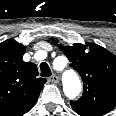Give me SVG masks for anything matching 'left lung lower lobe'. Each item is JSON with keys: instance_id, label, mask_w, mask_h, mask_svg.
<instances>
[{"instance_id": "obj_1", "label": "left lung lower lobe", "mask_w": 116, "mask_h": 116, "mask_svg": "<svg viewBox=\"0 0 116 116\" xmlns=\"http://www.w3.org/2000/svg\"><path fill=\"white\" fill-rule=\"evenodd\" d=\"M77 114H79L80 116H102L105 113L103 112H98V111H94V110H88V111H78V110H74Z\"/></svg>"}]
</instances>
